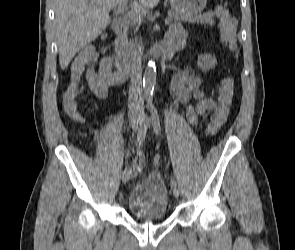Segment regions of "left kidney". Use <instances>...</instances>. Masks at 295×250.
I'll return each instance as SVG.
<instances>
[{"label":"left kidney","mask_w":295,"mask_h":250,"mask_svg":"<svg viewBox=\"0 0 295 250\" xmlns=\"http://www.w3.org/2000/svg\"><path fill=\"white\" fill-rule=\"evenodd\" d=\"M198 67L202 69V71H208L215 67L217 64L216 58L210 54H204L198 56L197 61Z\"/></svg>","instance_id":"obj_1"}]
</instances>
